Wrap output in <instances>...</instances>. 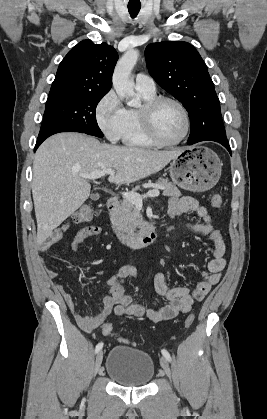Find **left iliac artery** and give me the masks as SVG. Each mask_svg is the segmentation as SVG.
I'll use <instances>...</instances> for the list:
<instances>
[{
    "label": "left iliac artery",
    "instance_id": "44dca946",
    "mask_svg": "<svg viewBox=\"0 0 267 419\" xmlns=\"http://www.w3.org/2000/svg\"><path fill=\"white\" fill-rule=\"evenodd\" d=\"M161 352H162L163 356H164V357H165L168 361H171V356H170V354H169V352H168L167 350L162 349V350H161Z\"/></svg>",
    "mask_w": 267,
    "mask_h": 419
}]
</instances>
